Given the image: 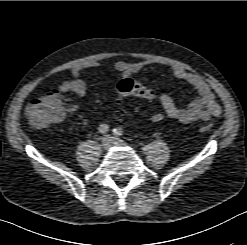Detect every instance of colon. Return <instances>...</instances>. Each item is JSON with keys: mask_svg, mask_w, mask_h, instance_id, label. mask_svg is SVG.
Segmentation results:
<instances>
[{"mask_svg": "<svg viewBox=\"0 0 247 245\" xmlns=\"http://www.w3.org/2000/svg\"><path fill=\"white\" fill-rule=\"evenodd\" d=\"M129 95L153 99L155 91L131 78H123L116 86V100L120 102ZM26 114L31 125L36 129H45L59 123L64 118L62 104L53 99H46L45 96L31 100L26 108ZM212 128L213 125L207 123L202 124L199 130L208 132Z\"/></svg>", "mask_w": 247, "mask_h": 245, "instance_id": "obj_1", "label": "colon"}]
</instances>
